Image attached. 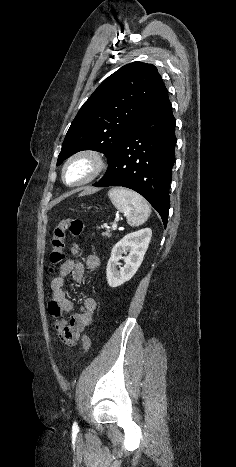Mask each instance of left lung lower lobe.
I'll use <instances>...</instances> for the list:
<instances>
[{
	"instance_id": "obj_1",
	"label": "left lung lower lobe",
	"mask_w": 236,
	"mask_h": 467,
	"mask_svg": "<svg viewBox=\"0 0 236 467\" xmlns=\"http://www.w3.org/2000/svg\"><path fill=\"white\" fill-rule=\"evenodd\" d=\"M175 118L168 94L124 136L96 187L123 186L141 194L166 227L175 162Z\"/></svg>"
}]
</instances>
